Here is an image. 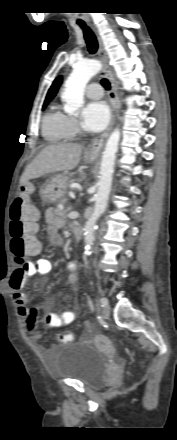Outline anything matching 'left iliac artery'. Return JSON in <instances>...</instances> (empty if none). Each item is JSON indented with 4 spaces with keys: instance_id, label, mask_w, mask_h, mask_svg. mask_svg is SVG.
Returning a JSON list of instances; mask_svg holds the SVG:
<instances>
[{
    "instance_id": "1",
    "label": "left iliac artery",
    "mask_w": 177,
    "mask_h": 440,
    "mask_svg": "<svg viewBox=\"0 0 177 440\" xmlns=\"http://www.w3.org/2000/svg\"><path fill=\"white\" fill-rule=\"evenodd\" d=\"M99 301H100L102 306H105L107 304V302H108V300L106 298H101Z\"/></svg>"
}]
</instances>
